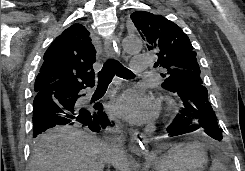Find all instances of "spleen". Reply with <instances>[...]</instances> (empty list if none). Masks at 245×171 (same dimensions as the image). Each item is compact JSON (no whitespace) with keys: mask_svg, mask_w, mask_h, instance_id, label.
<instances>
[{"mask_svg":"<svg viewBox=\"0 0 245 171\" xmlns=\"http://www.w3.org/2000/svg\"><path fill=\"white\" fill-rule=\"evenodd\" d=\"M210 171H227L226 167L224 164L220 162L218 159H214L212 161V165L210 167Z\"/></svg>","mask_w":245,"mask_h":171,"instance_id":"obj_1","label":"spleen"}]
</instances>
